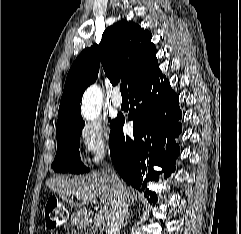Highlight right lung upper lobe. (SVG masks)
<instances>
[{
  "label": "right lung upper lobe",
  "mask_w": 241,
  "mask_h": 234,
  "mask_svg": "<svg viewBox=\"0 0 241 234\" xmlns=\"http://www.w3.org/2000/svg\"><path fill=\"white\" fill-rule=\"evenodd\" d=\"M151 38L149 31L121 20L104 31L99 45L85 49L68 72L56 132L83 121L80 101L85 89L97 79L100 61L110 82L126 81L129 92L151 76L159 68Z\"/></svg>",
  "instance_id": "cb5924a9"
}]
</instances>
